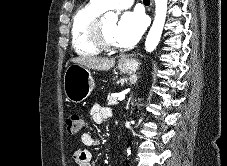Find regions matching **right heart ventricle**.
<instances>
[{
	"label": "right heart ventricle",
	"instance_id": "1",
	"mask_svg": "<svg viewBox=\"0 0 227 166\" xmlns=\"http://www.w3.org/2000/svg\"><path fill=\"white\" fill-rule=\"evenodd\" d=\"M104 11L105 9L95 1L89 0L74 14L71 24V44L77 54L95 56L101 52L90 39L89 27Z\"/></svg>",
	"mask_w": 227,
	"mask_h": 166
}]
</instances>
